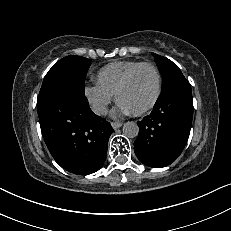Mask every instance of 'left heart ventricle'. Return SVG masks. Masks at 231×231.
Returning <instances> with one entry per match:
<instances>
[{
    "instance_id": "left-heart-ventricle-1",
    "label": "left heart ventricle",
    "mask_w": 231,
    "mask_h": 231,
    "mask_svg": "<svg viewBox=\"0 0 231 231\" xmlns=\"http://www.w3.org/2000/svg\"><path fill=\"white\" fill-rule=\"evenodd\" d=\"M155 91L156 77L154 72L150 68H142L120 94L119 103L131 112H136L151 102Z\"/></svg>"
}]
</instances>
